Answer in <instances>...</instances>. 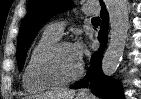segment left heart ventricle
Listing matches in <instances>:
<instances>
[{
	"mask_svg": "<svg viewBox=\"0 0 141 99\" xmlns=\"http://www.w3.org/2000/svg\"><path fill=\"white\" fill-rule=\"evenodd\" d=\"M50 66L57 77L69 78L78 71L80 64L76 60L71 46H64L54 55Z\"/></svg>",
	"mask_w": 141,
	"mask_h": 99,
	"instance_id": "b2bd125f",
	"label": "left heart ventricle"
}]
</instances>
